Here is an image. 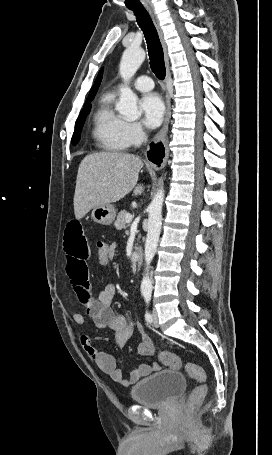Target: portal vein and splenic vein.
Returning <instances> with one entry per match:
<instances>
[{
	"instance_id": "1",
	"label": "portal vein and splenic vein",
	"mask_w": 272,
	"mask_h": 455,
	"mask_svg": "<svg viewBox=\"0 0 272 455\" xmlns=\"http://www.w3.org/2000/svg\"><path fill=\"white\" fill-rule=\"evenodd\" d=\"M132 218H133L132 215L128 213V214L126 215V223L129 224V223L132 221Z\"/></svg>"
}]
</instances>
